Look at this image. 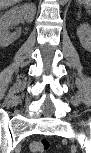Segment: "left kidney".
<instances>
[{
	"mask_svg": "<svg viewBox=\"0 0 91 153\" xmlns=\"http://www.w3.org/2000/svg\"><path fill=\"white\" fill-rule=\"evenodd\" d=\"M77 35L79 37L82 47L85 50L90 51L91 41L89 37L91 35V26L88 23L80 25V27L77 29Z\"/></svg>",
	"mask_w": 91,
	"mask_h": 153,
	"instance_id": "left-kidney-1",
	"label": "left kidney"
}]
</instances>
